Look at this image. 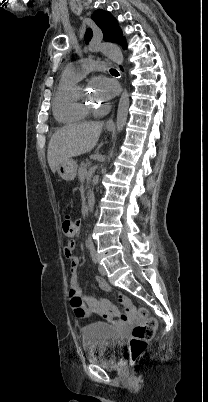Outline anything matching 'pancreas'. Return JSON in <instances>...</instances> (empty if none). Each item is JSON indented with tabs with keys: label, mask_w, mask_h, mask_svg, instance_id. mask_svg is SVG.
I'll use <instances>...</instances> for the list:
<instances>
[{
	"label": "pancreas",
	"mask_w": 208,
	"mask_h": 402,
	"mask_svg": "<svg viewBox=\"0 0 208 402\" xmlns=\"http://www.w3.org/2000/svg\"><path fill=\"white\" fill-rule=\"evenodd\" d=\"M88 164H85V162H82L80 168H79V172H82V170H84V168H87Z\"/></svg>",
	"instance_id": "1"
}]
</instances>
